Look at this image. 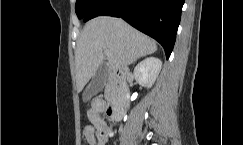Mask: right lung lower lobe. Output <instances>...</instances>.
Returning <instances> with one entry per match:
<instances>
[{"label":"right lung lower lobe","instance_id":"98d812e1","mask_svg":"<svg viewBox=\"0 0 243 145\" xmlns=\"http://www.w3.org/2000/svg\"><path fill=\"white\" fill-rule=\"evenodd\" d=\"M184 0H99L84 22L97 16L121 17L164 48L168 59L176 39Z\"/></svg>","mask_w":243,"mask_h":145}]
</instances>
